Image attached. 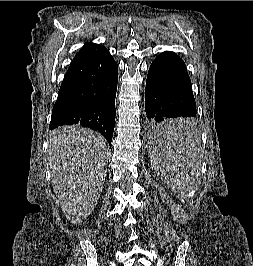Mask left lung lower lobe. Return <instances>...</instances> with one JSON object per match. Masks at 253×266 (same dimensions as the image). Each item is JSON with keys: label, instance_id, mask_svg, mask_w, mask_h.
I'll return each instance as SVG.
<instances>
[{"label": "left lung lower lobe", "instance_id": "obj_1", "mask_svg": "<svg viewBox=\"0 0 253 266\" xmlns=\"http://www.w3.org/2000/svg\"><path fill=\"white\" fill-rule=\"evenodd\" d=\"M145 110L153 137L182 138L192 133L196 102L183 60L165 51L152 62L146 80Z\"/></svg>", "mask_w": 253, "mask_h": 266}]
</instances>
